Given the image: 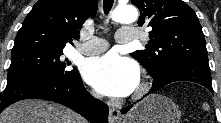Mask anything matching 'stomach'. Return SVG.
I'll return each instance as SVG.
<instances>
[{
    "mask_svg": "<svg viewBox=\"0 0 221 123\" xmlns=\"http://www.w3.org/2000/svg\"><path fill=\"white\" fill-rule=\"evenodd\" d=\"M178 106L166 96L152 94L128 112L122 123H180Z\"/></svg>",
    "mask_w": 221,
    "mask_h": 123,
    "instance_id": "stomach-1",
    "label": "stomach"
}]
</instances>
